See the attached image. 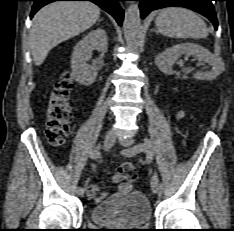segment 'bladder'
I'll return each instance as SVG.
<instances>
[{
    "mask_svg": "<svg viewBox=\"0 0 234 231\" xmlns=\"http://www.w3.org/2000/svg\"><path fill=\"white\" fill-rule=\"evenodd\" d=\"M151 217L150 201L138 191L112 195L90 210V219L94 223L107 226H139Z\"/></svg>",
    "mask_w": 234,
    "mask_h": 231,
    "instance_id": "bladder-1",
    "label": "bladder"
}]
</instances>
